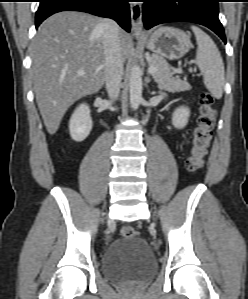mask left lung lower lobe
<instances>
[{
    "label": "left lung lower lobe",
    "mask_w": 248,
    "mask_h": 299,
    "mask_svg": "<svg viewBox=\"0 0 248 299\" xmlns=\"http://www.w3.org/2000/svg\"><path fill=\"white\" fill-rule=\"evenodd\" d=\"M219 0H145L143 22L146 29L167 22L187 21L204 25L226 43L219 21Z\"/></svg>",
    "instance_id": "left-lung-lower-lobe-1"
}]
</instances>
